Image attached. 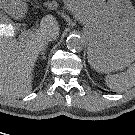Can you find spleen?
Segmentation results:
<instances>
[{"label": "spleen", "mask_w": 135, "mask_h": 135, "mask_svg": "<svg viewBox=\"0 0 135 135\" xmlns=\"http://www.w3.org/2000/svg\"><path fill=\"white\" fill-rule=\"evenodd\" d=\"M105 81L110 89L117 92H123L135 86V63L120 74L107 75Z\"/></svg>", "instance_id": "spleen-1"}]
</instances>
